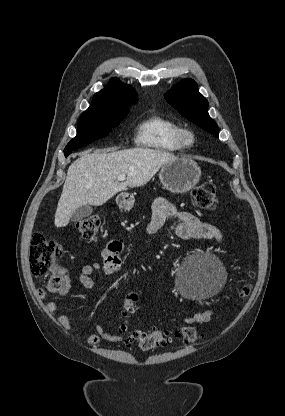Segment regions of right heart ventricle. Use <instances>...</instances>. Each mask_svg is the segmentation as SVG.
<instances>
[{
	"label": "right heart ventricle",
	"instance_id": "right-heart-ventricle-1",
	"mask_svg": "<svg viewBox=\"0 0 285 416\" xmlns=\"http://www.w3.org/2000/svg\"><path fill=\"white\" fill-rule=\"evenodd\" d=\"M180 129L175 120L153 114L138 126L137 141L159 152H177L182 149L177 140Z\"/></svg>",
	"mask_w": 285,
	"mask_h": 416
}]
</instances>
